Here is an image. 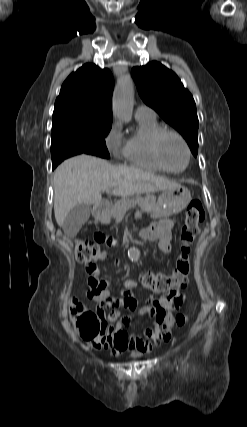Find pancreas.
I'll list each match as a JSON object with an SVG mask.
<instances>
[{
	"mask_svg": "<svg viewBox=\"0 0 247 427\" xmlns=\"http://www.w3.org/2000/svg\"><path fill=\"white\" fill-rule=\"evenodd\" d=\"M156 198L153 195H147L144 198L137 196L133 199L122 198L118 200L108 212V215L119 221L123 218L127 210L132 207L139 206L143 211H150L155 208Z\"/></svg>",
	"mask_w": 247,
	"mask_h": 427,
	"instance_id": "pancreas-1",
	"label": "pancreas"
}]
</instances>
